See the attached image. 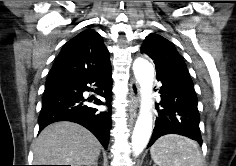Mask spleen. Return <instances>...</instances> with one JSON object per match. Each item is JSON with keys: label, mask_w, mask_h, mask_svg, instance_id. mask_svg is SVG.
<instances>
[{"label": "spleen", "mask_w": 236, "mask_h": 166, "mask_svg": "<svg viewBox=\"0 0 236 166\" xmlns=\"http://www.w3.org/2000/svg\"><path fill=\"white\" fill-rule=\"evenodd\" d=\"M158 166H201L197 144L186 137L169 134L159 138L150 149Z\"/></svg>", "instance_id": "spleen-1"}]
</instances>
